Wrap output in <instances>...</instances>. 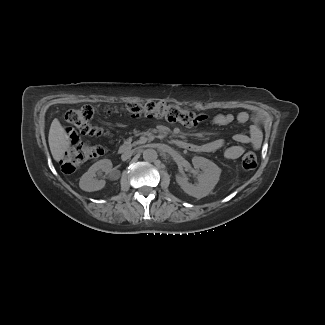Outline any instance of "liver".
Here are the masks:
<instances>
[{
    "label": "liver",
    "instance_id": "obj_1",
    "mask_svg": "<svg viewBox=\"0 0 325 325\" xmlns=\"http://www.w3.org/2000/svg\"><path fill=\"white\" fill-rule=\"evenodd\" d=\"M48 142L51 154L56 161L61 160L65 151L70 147V138L56 118L51 123Z\"/></svg>",
    "mask_w": 325,
    "mask_h": 325
}]
</instances>
